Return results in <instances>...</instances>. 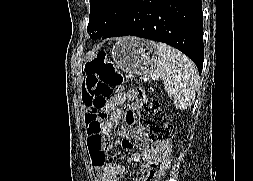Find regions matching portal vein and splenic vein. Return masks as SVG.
Returning a JSON list of instances; mask_svg holds the SVG:
<instances>
[{"instance_id": "18ae733b", "label": "portal vein and splenic vein", "mask_w": 253, "mask_h": 181, "mask_svg": "<svg viewBox=\"0 0 253 181\" xmlns=\"http://www.w3.org/2000/svg\"><path fill=\"white\" fill-rule=\"evenodd\" d=\"M151 78H152L153 80H157V76H156V75H151Z\"/></svg>"}]
</instances>
